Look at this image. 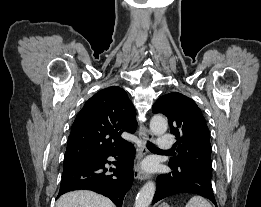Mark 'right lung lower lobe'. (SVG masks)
Returning <instances> with one entry per match:
<instances>
[{
    "mask_svg": "<svg viewBox=\"0 0 261 207\" xmlns=\"http://www.w3.org/2000/svg\"><path fill=\"white\" fill-rule=\"evenodd\" d=\"M134 154V148L129 143L119 150L98 155L88 162L64 167L57 198L68 191L88 189L110 198L117 207H121L123 198L133 183ZM110 156L116 161H108ZM111 163L115 168L107 169L105 164Z\"/></svg>",
    "mask_w": 261,
    "mask_h": 207,
    "instance_id": "right-lung-lower-lobe-1",
    "label": "right lung lower lobe"
}]
</instances>
